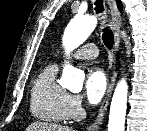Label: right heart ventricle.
<instances>
[{"label":"right heart ventricle","instance_id":"1","mask_svg":"<svg viewBox=\"0 0 147 131\" xmlns=\"http://www.w3.org/2000/svg\"><path fill=\"white\" fill-rule=\"evenodd\" d=\"M57 66H46L34 81L31 90L32 115L45 122L61 123L66 120L65 103L69 93L57 81Z\"/></svg>","mask_w":147,"mask_h":131}]
</instances>
